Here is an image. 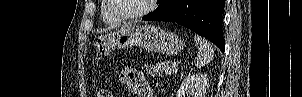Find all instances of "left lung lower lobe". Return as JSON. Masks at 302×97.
<instances>
[{
    "mask_svg": "<svg viewBox=\"0 0 302 97\" xmlns=\"http://www.w3.org/2000/svg\"><path fill=\"white\" fill-rule=\"evenodd\" d=\"M224 5V0H161L157 9L142 19L181 24L204 36L224 52L221 29Z\"/></svg>",
    "mask_w": 302,
    "mask_h": 97,
    "instance_id": "0a47b994",
    "label": "left lung lower lobe"
}]
</instances>
